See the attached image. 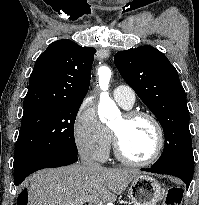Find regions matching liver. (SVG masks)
Wrapping results in <instances>:
<instances>
[{"mask_svg": "<svg viewBox=\"0 0 199 205\" xmlns=\"http://www.w3.org/2000/svg\"><path fill=\"white\" fill-rule=\"evenodd\" d=\"M134 169H89L73 164L34 173L28 182V205H81L95 197L114 202L134 177Z\"/></svg>", "mask_w": 199, "mask_h": 205, "instance_id": "1", "label": "liver"}]
</instances>
